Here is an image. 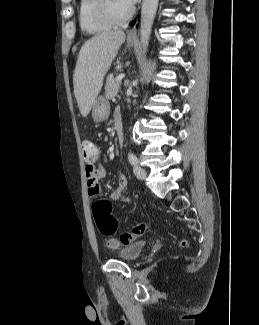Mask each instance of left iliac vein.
Returning <instances> with one entry per match:
<instances>
[{
  "label": "left iliac vein",
  "instance_id": "obj_1",
  "mask_svg": "<svg viewBox=\"0 0 259 325\" xmlns=\"http://www.w3.org/2000/svg\"><path fill=\"white\" fill-rule=\"evenodd\" d=\"M134 174L135 176L139 179V180H144L146 178V171L145 169H143L142 167H140L139 165H135L133 168Z\"/></svg>",
  "mask_w": 259,
  "mask_h": 325
}]
</instances>
